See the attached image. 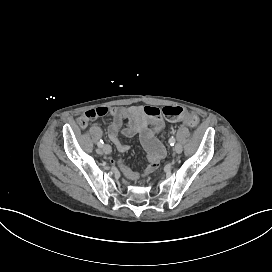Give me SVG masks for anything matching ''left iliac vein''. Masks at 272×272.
<instances>
[{
    "instance_id": "obj_1",
    "label": "left iliac vein",
    "mask_w": 272,
    "mask_h": 272,
    "mask_svg": "<svg viewBox=\"0 0 272 272\" xmlns=\"http://www.w3.org/2000/svg\"><path fill=\"white\" fill-rule=\"evenodd\" d=\"M174 152L176 154H180L182 152V146L180 144H176L174 147Z\"/></svg>"
}]
</instances>
